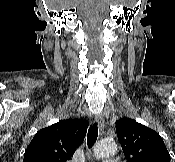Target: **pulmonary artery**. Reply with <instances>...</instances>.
Returning a JSON list of instances; mask_svg holds the SVG:
<instances>
[{"mask_svg": "<svg viewBox=\"0 0 175 162\" xmlns=\"http://www.w3.org/2000/svg\"><path fill=\"white\" fill-rule=\"evenodd\" d=\"M104 162H117L115 159H107Z\"/></svg>", "mask_w": 175, "mask_h": 162, "instance_id": "obj_1", "label": "pulmonary artery"}]
</instances>
